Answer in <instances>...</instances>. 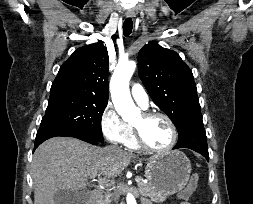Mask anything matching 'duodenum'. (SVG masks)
<instances>
[{
	"mask_svg": "<svg viewBox=\"0 0 253 204\" xmlns=\"http://www.w3.org/2000/svg\"><path fill=\"white\" fill-rule=\"evenodd\" d=\"M99 197H100V192L98 190L92 191L88 204H97Z\"/></svg>",
	"mask_w": 253,
	"mask_h": 204,
	"instance_id": "obj_1",
	"label": "duodenum"
}]
</instances>
